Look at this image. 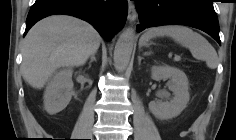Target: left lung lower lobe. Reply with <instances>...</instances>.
Returning a JSON list of instances; mask_svg holds the SVG:
<instances>
[{
  "mask_svg": "<svg viewBox=\"0 0 236 140\" xmlns=\"http://www.w3.org/2000/svg\"><path fill=\"white\" fill-rule=\"evenodd\" d=\"M137 31L162 25H186L208 33L220 44L218 18L212 0H136Z\"/></svg>",
  "mask_w": 236,
  "mask_h": 140,
  "instance_id": "left-lung-lower-lobe-1",
  "label": "left lung lower lobe"
}]
</instances>
